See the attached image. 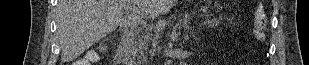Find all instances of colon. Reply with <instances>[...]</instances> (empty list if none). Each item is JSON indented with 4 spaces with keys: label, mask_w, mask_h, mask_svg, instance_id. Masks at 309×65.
Segmentation results:
<instances>
[{
    "label": "colon",
    "mask_w": 309,
    "mask_h": 65,
    "mask_svg": "<svg viewBox=\"0 0 309 65\" xmlns=\"http://www.w3.org/2000/svg\"><path fill=\"white\" fill-rule=\"evenodd\" d=\"M254 37L258 42H263L266 39L267 32V14L262 6L257 7L254 17ZM94 52H87L85 58H92ZM83 60L77 61L74 65H88L89 63H81Z\"/></svg>",
    "instance_id": "5ec220e1"
}]
</instances>
